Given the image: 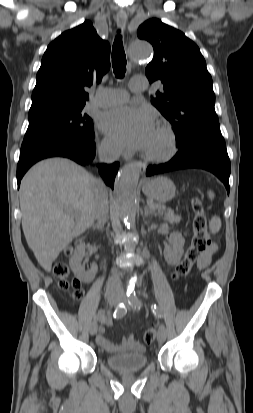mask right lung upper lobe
<instances>
[{"mask_svg":"<svg viewBox=\"0 0 253 413\" xmlns=\"http://www.w3.org/2000/svg\"><path fill=\"white\" fill-rule=\"evenodd\" d=\"M109 68L110 45L91 22L62 33L43 55L29 112L85 105L86 88L99 83Z\"/></svg>","mask_w":253,"mask_h":413,"instance_id":"right-lung-upper-lobe-1","label":"right lung upper lobe"}]
</instances>
